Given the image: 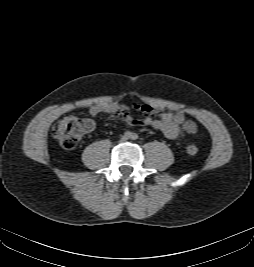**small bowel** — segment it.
Listing matches in <instances>:
<instances>
[{
    "label": "small bowel",
    "instance_id": "1",
    "mask_svg": "<svg viewBox=\"0 0 254 267\" xmlns=\"http://www.w3.org/2000/svg\"><path fill=\"white\" fill-rule=\"evenodd\" d=\"M136 109L144 114L141 121L136 120L130 113L129 107L116 102H101L89 108V114L93 117L99 114H118L128 125L142 124L161 131L165 137L171 140L178 139L183 133L194 134L197 131L196 124L187 120L184 113L162 112L157 107L150 105H137Z\"/></svg>",
    "mask_w": 254,
    "mask_h": 267
}]
</instances>
